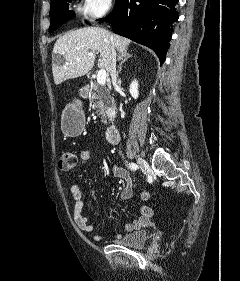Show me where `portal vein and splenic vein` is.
I'll return each instance as SVG.
<instances>
[{"instance_id":"1","label":"portal vein and splenic vein","mask_w":240,"mask_h":281,"mask_svg":"<svg viewBox=\"0 0 240 281\" xmlns=\"http://www.w3.org/2000/svg\"><path fill=\"white\" fill-rule=\"evenodd\" d=\"M92 53H89V56H92ZM107 73L104 69H101L97 73V83L101 86H104L106 83Z\"/></svg>"}]
</instances>
